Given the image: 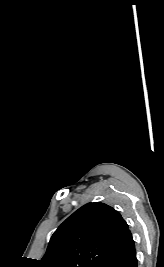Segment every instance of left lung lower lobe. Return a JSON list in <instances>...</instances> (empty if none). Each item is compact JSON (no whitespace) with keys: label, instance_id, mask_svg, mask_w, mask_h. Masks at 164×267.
<instances>
[{"label":"left lung lower lobe","instance_id":"0a47b994","mask_svg":"<svg viewBox=\"0 0 164 267\" xmlns=\"http://www.w3.org/2000/svg\"><path fill=\"white\" fill-rule=\"evenodd\" d=\"M100 267H137L135 245L129 229L126 230Z\"/></svg>","mask_w":164,"mask_h":267}]
</instances>
